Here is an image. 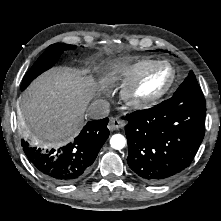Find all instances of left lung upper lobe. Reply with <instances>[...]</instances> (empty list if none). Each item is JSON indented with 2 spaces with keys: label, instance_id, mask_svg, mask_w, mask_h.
Segmentation results:
<instances>
[{
  "label": "left lung upper lobe",
  "instance_id": "left-lung-upper-lobe-1",
  "mask_svg": "<svg viewBox=\"0 0 221 221\" xmlns=\"http://www.w3.org/2000/svg\"><path fill=\"white\" fill-rule=\"evenodd\" d=\"M170 101L175 105H195L205 107V99L193 71H190Z\"/></svg>",
  "mask_w": 221,
  "mask_h": 221
}]
</instances>
